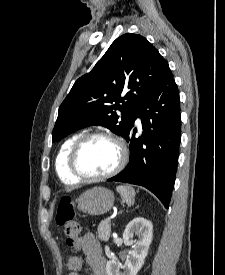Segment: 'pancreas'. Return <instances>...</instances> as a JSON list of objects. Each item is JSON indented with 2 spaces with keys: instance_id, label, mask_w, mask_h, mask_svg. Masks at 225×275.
<instances>
[{
  "instance_id": "cf45deb5",
  "label": "pancreas",
  "mask_w": 225,
  "mask_h": 275,
  "mask_svg": "<svg viewBox=\"0 0 225 275\" xmlns=\"http://www.w3.org/2000/svg\"><path fill=\"white\" fill-rule=\"evenodd\" d=\"M111 233L110 221L103 220L100 222L97 230L98 238L101 241H108Z\"/></svg>"
}]
</instances>
